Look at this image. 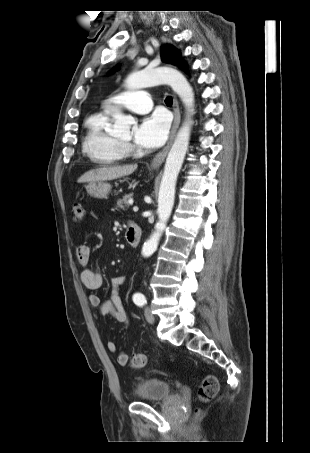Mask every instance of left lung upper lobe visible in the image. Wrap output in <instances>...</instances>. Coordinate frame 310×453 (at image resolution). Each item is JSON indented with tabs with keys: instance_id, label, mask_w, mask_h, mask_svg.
<instances>
[{
	"instance_id": "5c2ea615",
	"label": "left lung upper lobe",
	"mask_w": 310,
	"mask_h": 453,
	"mask_svg": "<svg viewBox=\"0 0 310 453\" xmlns=\"http://www.w3.org/2000/svg\"><path fill=\"white\" fill-rule=\"evenodd\" d=\"M161 57L163 62L177 65L179 67H181L184 63L181 59L179 51L170 46H162Z\"/></svg>"
}]
</instances>
